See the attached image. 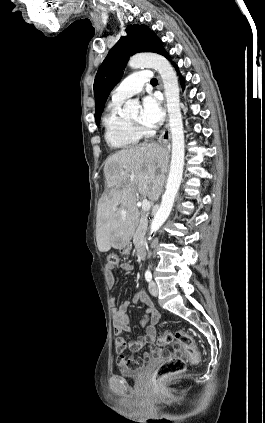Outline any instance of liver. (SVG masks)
Wrapping results in <instances>:
<instances>
[{
	"label": "liver",
	"instance_id": "1",
	"mask_svg": "<svg viewBox=\"0 0 265 423\" xmlns=\"http://www.w3.org/2000/svg\"><path fill=\"white\" fill-rule=\"evenodd\" d=\"M168 164L166 149L156 143H142L117 151L105 162L104 174L110 191L98 206L96 230L100 252L119 248L127 240L129 224L137 214L136 192L158 200Z\"/></svg>",
	"mask_w": 265,
	"mask_h": 423
}]
</instances>
